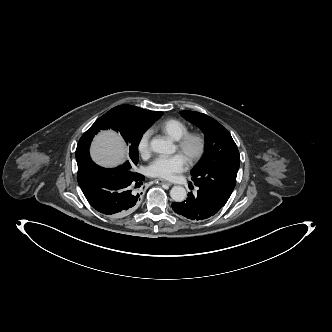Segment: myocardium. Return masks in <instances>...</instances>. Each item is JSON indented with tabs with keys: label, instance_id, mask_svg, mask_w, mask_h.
Segmentation results:
<instances>
[{
	"label": "myocardium",
	"instance_id": "obj_1",
	"mask_svg": "<svg viewBox=\"0 0 332 332\" xmlns=\"http://www.w3.org/2000/svg\"><path fill=\"white\" fill-rule=\"evenodd\" d=\"M207 140L201 132H187L177 140V149L189 164H195L205 154Z\"/></svg>",
	"mask_w": 332,
	"mask_h": 332
}]
</instances>
